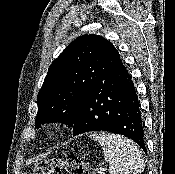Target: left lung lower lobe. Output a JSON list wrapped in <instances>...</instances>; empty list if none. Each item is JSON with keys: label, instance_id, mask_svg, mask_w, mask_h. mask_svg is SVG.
Returning a JSON list of instances; mask_svg holds the SVG:
<instances>
[{"label": "left lung lower lobe", "instance_id": "1", "mask_svg": "<svg viewBox=\"0 0 175 174\" xmlns=\"http://www.w3.org/2000/svg\"><path fill=\"white\" fill-rule=\"evenodd\" d=\"M72 127L74 136L89 131L124 135L146 152L138 96L121 61L101 83L83 96Z\"/></svg>", "mask_w": 175, "mask_h": 174}]
</instances>
